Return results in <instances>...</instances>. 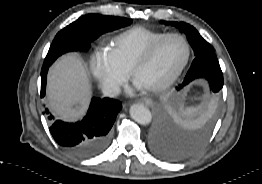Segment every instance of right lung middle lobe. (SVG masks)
<instances>
[{"label": "right lung middle lobe", "mask_w": 262, "mask_h": 184, "mask_svg": "<svg viewBox=\"0 0 262 184\" xmlns=\"http://www.w3.org/2000/svg\"><path fill=\"white\" fill-rule=\"evenodd\" d=\"M132 19L88 14L80 17L55 36L43 67H49L60 55L69 51H86L100 35L132 23Z\"/></svg>", "instance_id": "1"}]
</instances>
